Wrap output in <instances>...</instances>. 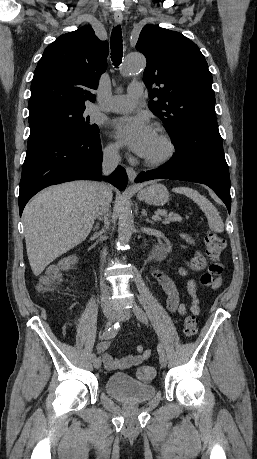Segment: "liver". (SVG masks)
Instances as JSON below:
<instances>
[{"instance_id":"liver-1","label":"liver","mask_w":257,"mask_h":459,"mask_svg":"<svg viewBox=\"0 0 257 459\" xmlns=\"http://www.w3.org/2000/svg\"><path fill=\"white\" fill-rule=\"evenodd\" d=\"M97 189L91 181L64 183L43 190L25 207L27 256L35 276L88 237L96 216ZM109 198L111 202V189Z\"/></svg>"}]
</instances>
